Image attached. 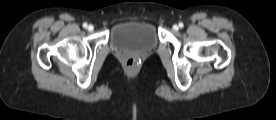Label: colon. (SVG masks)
<instances>
[{
  "mask_svg": "<svg viewBox=\"0 0 276 120\" xmlns=\"http://www.w3.org/2000/svg\"><path fill=\"white\" fill-rule=\"evenodd\" d=\"M136 60L134 59V58H128L127 60H126V66L128 67V68H134L135 66H136Z\"/></svg>",
  "mask_w": 276,
  "mask_h": 120,
  "instance_id": "obj_1",
  "label": "colon"
}]
</instances>
